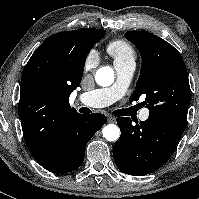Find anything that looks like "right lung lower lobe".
Instances as JSON below:
<instances>
[{"label":"right lung lower lobe","instance_id":"98d812e1","mask_svg":"<svg viewBox=\"0 0 199 199\" xmlns=\"http://www.w3.org/2000/svg\"><path fill=\"white\" fill-rule=\"evenodd\" d=\"M100 113L68 117L58 133L39 143L26 142L34 159L53 173H67L80 167L88 141L106 123Z\"/></svg>","mask_w":199,"mask_h":199}]
</instances>
